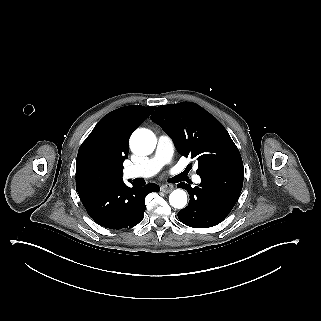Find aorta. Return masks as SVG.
<instances>
[{"label": "aorta", "instance_id": "762f6f07", "mask_svg": "<svg viewBox=\"0 0 321 321\" xmlns=\"http://www.w3.org/2000/svg\"><path fill=\"white\" fill-rule=\"evenodd\" d=\"M157 139L155 134L145 128L137 129L130 138V148L136 155H148L156 147ZM169 203L174 208L182 209L187 204V194L184 190L177 189L169 195Z\"/></svg>", "mask_w": 321, "mask_h": 321}]
</instances>
